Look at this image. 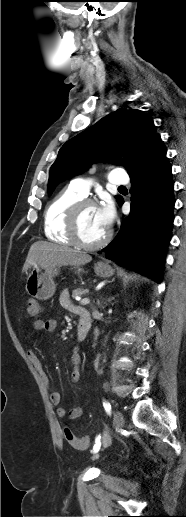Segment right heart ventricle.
<instances>
[{"label":"right heart ventricle","mask_w":186,"mask_h":517,"mask_svg":"<svg viewBox=\"0 0 186 517\" xmlns=\"http://www.w3.org/2000/svg\"><path fill=\"white\" fill-rule=\"evenodd\" d=\"M84 198L71 186L60 190L46 207L44 213L45 236L56 243L73 244L68 233V213L70 208Z\"/></svg>","instance_id":"e07e8e85"}]
</instances>
